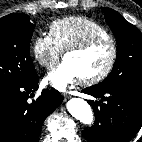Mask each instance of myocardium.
<instances>
[{
  "label": "myocardium",
  "mask_w": 142,
  "mask_h": 142,
  "mask_svg": "<svg viewBox=\"0 0 142 142\" xmlns=\"http://www.w3.org/2000/svg\"><path fill=\"white\" fill-rule=\"evenodd\" d=\"M102 41L108 42L111 46L110 59L107 65L105 66V68L101 70L99 73L89 76V77L80 78L81 82L85 85L97 84L101 82L102 80H104L111 73V71L113 70L115 66L117 56H118V48H117V44L115 40L111 36L106 37V36H101V35H93L74 45L69 46L63 51V58L65 59V57L70 53L84 51L90 48L91 46H93L94 44L98 42H102Z\"/></svg>",
  "instance_id": "myocardium-1"
}]
</instances>
